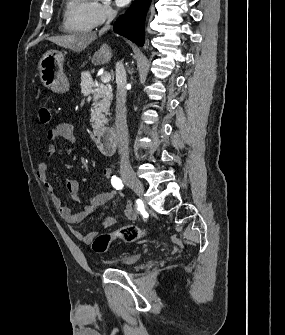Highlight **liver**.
I'll return each instance as SVG.
<instances>
[{"label": "liver", "mask_w": 285, "mask_h": 335, "mask_svg": "<svg viewBox=\"0 0 285 335\" xmlns=\"http://www.w3.org/2000/svg\"><path fill=\"white\" fill-rule=\"evenodd\" d=\"M96 38V34H72V36H53V38H48V40L53 42V44H57V46H61V48H68V50H74V52H82ZM111 58L112 52L109 46L103 44L100 50L94 54L92 64H95V66L108 64Z\"/></svg>", "instance_id": "obj_1"}]
</instances>
